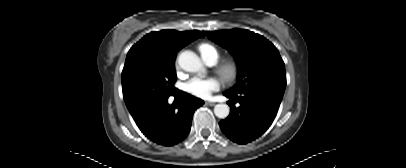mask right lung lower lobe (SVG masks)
Segmentation results:
<instances>
[{
  "label": "right lung lower lobe",
  "instance_id": "obj_1",
  "mask_svg": "<svg viewBox=\"0 0 406 168\" xmlns=\"http://www.w3.org/2000/svg\"><path fill=\"white\" fill-rule=\"evenodd\" d=\"M173 96L175 101L171 105L167 97L131 114L145 136L164 146L175 145L187 137L194 111L204 104L179 90Z\"/></svg>",
  "mask_w": 406,
  "mask_h": 168
}]
</instances>
